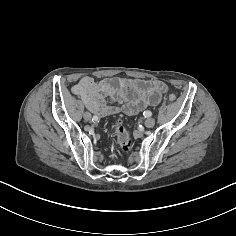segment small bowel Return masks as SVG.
<instances>
[{
	"instance_id": "c3829d8e",
	"label": "small bowel",
	"mask_w": 236,
	"mask_h": 236,
	"mask_svg": "<svg viewBox=\"0 0 236 236\" xmlns=\"http://www.w3.org/2000/svg\"><path fill=\"white\" fill-rule=\"evenodd\" d=\"M94 116L123 112L134 115L147 106L157 104L167 90V86L156 80L139 78H108L96 82L91 76L82 77L72 88ZM106 98H112L120 105L103 103Z\"/></svg>"
}]
</instances>
